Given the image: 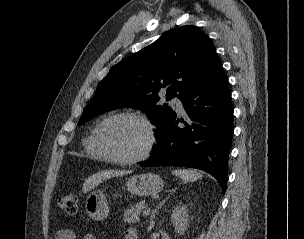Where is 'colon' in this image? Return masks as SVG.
<instances>
[{"label": "colon", "mask_w": 304, "mask_h": 239, "mask_svg": "<svg viewBox=\"0 0 304 239\" xmlns=\"http://www.w3.org/2000/svg\"><path fill=\"white\" fill-rule=\"evenodd\" d=\"M58 207L67 214H75L78 210V198L75 194L69 193L58 199Z\"/></svg>", "instance_id": "colon-1"}]
</instances>
